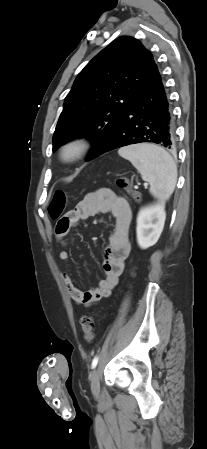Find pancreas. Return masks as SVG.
I'll use <instances>...</instances> for the list:
<instances>
[{
	"label": "pancreas",
	"instance_id": "pancreas-1",
	"mask_svg": "<svg viewBox=\"0 0 207 449\" xmlns=\"http://www.w3.org/2000/svg\"><path fill=\"white\" fill-rule=\"evenodd\" d=\"M132 196H133V198H137V197H140L141 195L138 192H132Z\"/></svg>",
	"mask_w": 207,
	"mask_h": 449
}]
</instances>
